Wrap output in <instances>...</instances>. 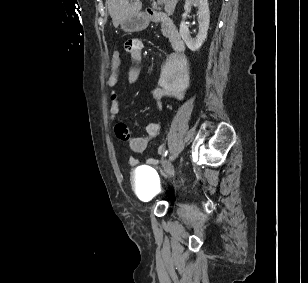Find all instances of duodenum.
<instances>
[{"instance_id":"obj_1","label":"duodenum","mask_w":308,"mask_h":283,"mask_svg":"<svg viewBox=\"0 0 308 283\" xmlns=\"http://www.w3.org/2000/svg\"><path fill=\"white\" fill-rule=\"evenodd\" d=\"M146 18L148 21L150 22H161L165 25L167 32H168V36H169V40L171 43V46L173 48V50L178 54L177 57H180L179 55L184 51L185 49V44L183 41V38L179 32V29L177 28V26L175 25L174 21L172 19H170L169 17H167L165 14L149 8L146 10ZM181 58V57H180Z\"/></svg>"}]
</instances>
